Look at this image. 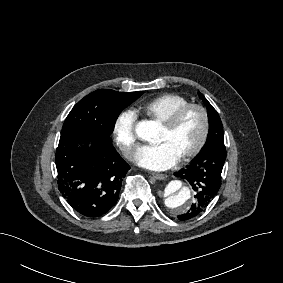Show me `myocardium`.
Listing matches in <instances>:
<instances>
[{
  "mask_svg": "<svg viewBox=\"0 0 283 283\" xmlns=\"http://www.w3.org/2000/svg\"><path fill=\"white\" fill-rule=\"evenodd\" d=\"M190 110H196L199 112L201 118H202V135L199 140V142L196 144V146L184 153L180 157V161H187L195 156H197L206 146L208 137H209V130H210V122H209V116L206 111V109L197 103H189L185 106H182L175 111L171 112L161 123L164 126V128L168 131H172L177 123L180 121V119Z\"/></svg>",
  "mask_w": 283,
  "mask_h": 283,
  "instance_id": "obj_1",
  "label": "myocardium"
}]
</instances>
